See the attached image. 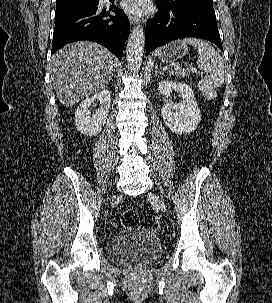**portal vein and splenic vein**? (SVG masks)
I'll return each instance as SVG.
<instances>
[{
    "instance_id": "portal-vein-and-splenic-vein-1",
    "label": "portal vein and splenic vein",
    "mask_w": 272,
    "mask_h": 303,
    "mask_svg": "<svg viewBox=\"0 0 272 303\" xmlns=\"http://www.w3.org/2000/svg\"><path fill=\"white\" fill-rule=\"evenodd\" d=\"M173 67H174L175 69H181L179 64H175ZM187 70H188V71H192V72H197V70H196L194 67H192V66H188V67H187Z\"/></svg>"
}]
</instances>
